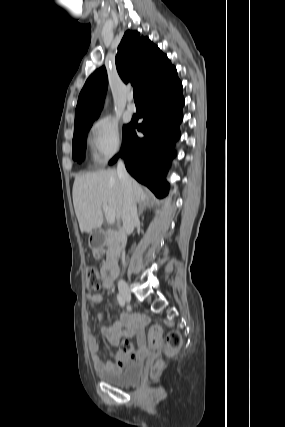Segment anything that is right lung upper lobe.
Listing matches in <instances>:
<instances>
[{
	"instance_id": "1",
	"label": "right lung upper lobe",
	"mask_w": 285,
	"mask_h": 427,
	"mask_svg": "<svg viewBox=\"0 0 285 427\" xmlns=\"http://www.w3.org/2000/svg\"><path fill=\"white\" fill-rule=\"evenodd\" d=\"M116 68L127 83L138 87L139 93L154 79L171 67V62L148 37H140L137 31L127 30L118 47ZM108 79L105 67L97 69L87 79L80 92L75 111V129L93 122L98 117L107 91Z\"/></svg>"
}]
</instances>
